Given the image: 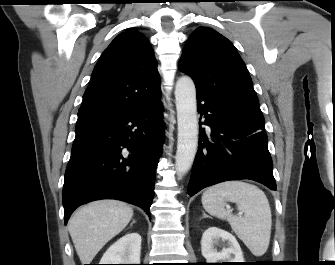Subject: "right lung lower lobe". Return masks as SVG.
Segmentation results:
<instances>
[{
	"label": "right lung lower lobe",
	"instance_id": "1",
	"mask_svg": "<svg viewBox=\"0 0 335 265\" xmlns=\"http://www.w3.org/2000/svg\"><path fill=\"white\" fill-rule=\"evenodd\" d=\"M163 105L156 103L108 119L76 125L63 185L64 221L80 205L119 199L150 217L162 151Z\"/></svg>",
	"mask_w": 335,
	"mask_h": 265
}]
</instances>
